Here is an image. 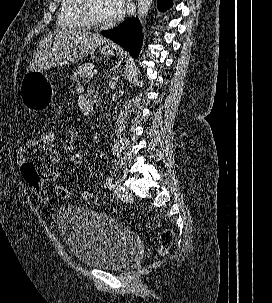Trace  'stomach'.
<instances>
[{
	"instance_id": "1",
	"label": "stomach",
	"mask_w": 272,
	"mask_h": 303,
	"mask_svg": "<svg viewBox=\"0 0 272 303\" xmlns=\"http://www.w3.org/2000/svg\"><path fill=\"white\" fill-rule=\"evenodd\" d=\"M116 51L109 43L100 48V52L106 56L114 55ZM20 92L22 103L28 110H42L53 100L54 85L43 71L27 72L22 78Z\"/></svg>"
}]
</instances>
